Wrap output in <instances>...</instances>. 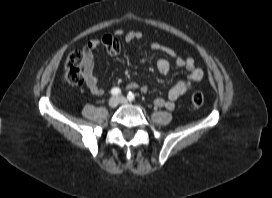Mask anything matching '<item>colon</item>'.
Masks as SVG:
<instances>
[{
    "label": "colon",
    "instance_id": "5ec220e1",
    "mask_svg": "<svg viewBox=\"0 0 272 198\" xmlns=\"http://www.w3.org/2000/svg\"><path fill=\"white\" fill-rule=\"evenodd\" d=\"M66 81L74 86H80L85 82V60L82 51L72 50L65 62ZM191 101L195 107L203 105L204 97L201 92H195L191 96Z\"/></svg>",
    "mask_w": 272,
    "mask_h": 198
}]
</instances>
